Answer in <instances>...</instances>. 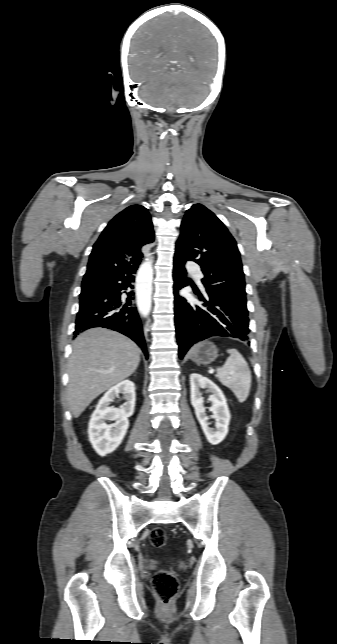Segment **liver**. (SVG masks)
<instances>
[{"instance_id":"liver-1","label":"liver","mask_w":337,"mask_h":644,"mask_svg":"<svg viewBox=\"0 0 337 644\" xmlns=\"http://www.w3.org/2000/svg\"><path fill=\"white\" fill-rule=\"evenodd\" d=\"M140 352L132 340L111 330L93 328L80 334L68 366L72 415L78 418L96 397L133 374Z\"/></svg>"}]
</instances>
